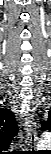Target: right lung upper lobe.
<instances>
[{
    "mask_svg": "<svg viewBox=\"0 0 51 154\" xmlns=\"http://www.w3.org/2000/svg\"><path fill=\"white\" fill-rule=\"evenodd\" d=\"M2 115L6 122V126L8 127V130L10 131L15 130L16 126H15V119L13 114L10 111L6 110Z\"/></svg>",
    "mask_w": 51,
    "mask_h": 154,
    "instance_id": "cb5924a9",
    "label": "right lung upper lobe"
}]
</instances>
